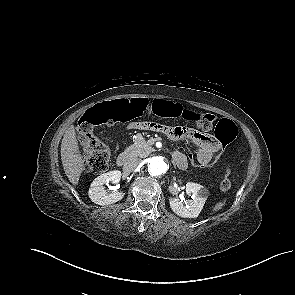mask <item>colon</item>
Returning a JSON list of instances; mask_svg holds the SVG:
<instances>
[{"instance_id":"1","label":"colon","mask_w":295,"mask_h":295,"mask_svg":"<svg viewBox=\"0 0 295 295\" xmlns=\"http://www.w3.org/2000/svg\"><path fill=\"white\" fill-rule=\"evenodd\" d=\"M146 112L163 118H182L194 123L198 128L209 131L214 129L217 139L223 144L220 150L214 155L213 160L207 163H197L196 157L189 147L184 149L191 167L196 171L210 170L214 168L221 157L227 151L228 143L238 135L236 125L228 119L216 120L211 114L198 113L184 109L179 104L165 101L146 99L118 100L103 103L87 110L78 120L76 132L79 140L83 143L85 170L91 174H101L106 171L110 159L108 147L94 134V128L98 125L113 126L118 123H125ZM160 130L165 126L158 124ZM231 187V172L227 170L220 182V189L227 191Z\"/></svg>"}]
</instances>
